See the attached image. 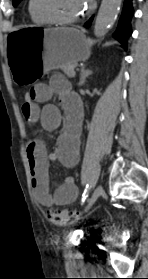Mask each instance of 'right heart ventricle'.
Returning a JSON list of instances; mask_svg holds the SVG:
<instances>
[{
    "label": "right heart ventricle",
    "mask_w": 148,
    "mask_h": 279,
    "mask_svg": "<svg viewBox=\"0 0 148 279\" xmlns=\"http://www.w3.org/2000/svg\"><path fill=\"white\" fill-rule=\"evenodd\" d=\"M31 5H32V1L30 0V1H29V5H28V10H29V14H30L31 20H32L35 24H37V25H46V24H48V22H46L45 20H43V19L37 17V16L33 13V11H32V6H31Z\"/></svg>",
    "instance_id": "right-heart-ventricle-1"
}]
</instances>
